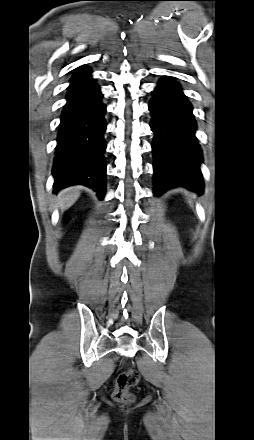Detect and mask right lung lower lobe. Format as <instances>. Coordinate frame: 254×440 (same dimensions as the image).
I'll list each match as a JSON object with an SVG mask.
<instances>
[{"instance_id":"right-lung-lower-lobe-1","label":"right lung lower lobe","mask_w":254,"mask_h":440,"mask_svg":"<svg viewBox=\"0 0 254 440\" xmlns=\"http://www.w3.org/2000/svg\"><path fill=\"white\" fill-rule=\"evenodd\" d=\"M89 68L76 71L62 112L52 174L54 191L83 184L105 193V105Z\"/></svg>"}]
</instances>
